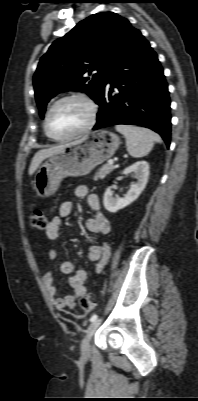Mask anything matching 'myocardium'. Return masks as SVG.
I'll list each match as a JSON object with an SVG mask.
<instances>
[{"label": "myocardium", "mask_w": 198, "mask_h": 401, "mask_svg": "<svg viewBox=\"0 0 198 401\" xmlns=\"http://www.w3.org/2000/svg\"><path fill=\"white\" fill-rule=\"evenodd\" d=\"M68 100H79V101L83 102L89 108V112H90L89 120L82 129H80L79 131H77L75 133L65 136V137H55L50 132V127H49L51 113L53 112V110L56 108L57 105H59L60 103H62L64 101H68ZM98 112H99V108H98L97 103L88 95L83 94V93H73V94L65 95V96L57 99L49 107V109L46 113V116H45V123H44L45 133L50 139H52L53 141H57V142H66V141L75 139V138L82 136L85 133L89 132L95 126V124L97 122V118H98Z\"/></svg>", "instance_id": "myocardium-1"}]
</instances>
